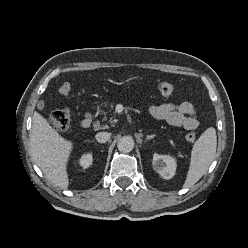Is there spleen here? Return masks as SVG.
<instances>
[{
    "instance_id": "spleen-1",
    "label": "spleen",
    "mask_w": 248,
    "mask_h": 248,
    "mask_svg": "<svg viewBox=\"0 0 248 248\" xmlns=\"http://www.w3.org/2000/svg\"><path fill=\"white\" fill-rule=\"evenodd\" d=\"M216 146V131L213 127H210L194 143L184 188L192 187L206 173L214 160Z\"/></svg>"
}]
</instances>
